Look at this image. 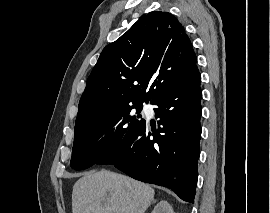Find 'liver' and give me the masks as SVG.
<instances>
[{
    "instance_id": "6515ba94",
    "label": "liver",
    "mask_w": 270,
    "mask_h": 213,
    "mask_svg": "<svg viewBox=\"0 0 270 213\" xmlns=\"http://www.w3.org/2000/svg\"><path fill=\"white\" fill-rule=\"evenodd\" d=\"M155 191L128 176L101 170L77 180L72 191V213H145Z\"/></svg>"
}]
</instances>
